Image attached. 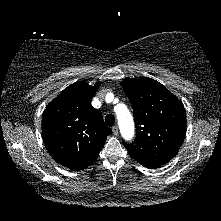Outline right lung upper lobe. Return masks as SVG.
Instances as JSON below:
<instances>
[{"mask_svg":"<svg viewBox=\"0 0 221 221\" xmlns=\"http://www.w3.org/2000/svg\"><path fill=\"white\" fill-rule=\"evenodd\" d=\"M100 83L77 82L64 89L46 107L42 119L44 143L51 156L72 170L88 167L112 133L91 99Z\"/></svg>","mask_w":221,"mask_h":221,"instance_id":"cb5924a9","label":"right lung upper lobe"}]
</instances>
